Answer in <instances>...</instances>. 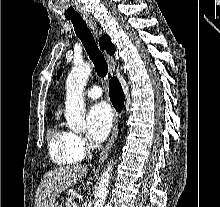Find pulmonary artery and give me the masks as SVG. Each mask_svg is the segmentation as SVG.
I'll return each instance as SVG.
<instances>
[{"mask_svg": "<svg viewBox=\"0 0 220 207\" xmlns=\"http://www.w3.org/2000/svg\"><path fill=\"white\" fill-rule=\"evenodd\" d=\"M86 95L90 99H98L102 96V90L99 86H93L87 90Z\"/></svg>", "mask_w": 220, "mask_h": 207, "instance_id": "pulmonary-artery-1", "label": "pulmonary artery"}]
</instances>
